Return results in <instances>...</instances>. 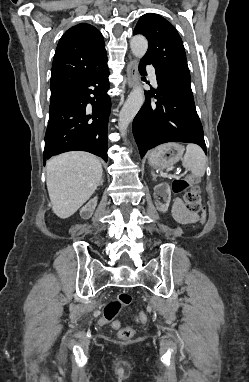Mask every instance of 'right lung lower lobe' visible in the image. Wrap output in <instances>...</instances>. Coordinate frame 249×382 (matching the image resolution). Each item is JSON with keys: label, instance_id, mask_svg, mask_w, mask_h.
Masks as SVG:
<instances>
[{"label": "right lung lower lobe", "instance_id": "1", "mask_svg": "<svg viewBox=\"0 0 249 382\" xmlns=\"http://www.w3.org/2000/svg\"><path fill=\"white\" fill-rule=\"evenodd\" d=\"M108 76L106 57L78 85L51 101L44 165L51 156L73 150L108 160L107 128L111 110Z\"/></svg>", "mask_w": 249, "mask_h": 382}]
</instances>
